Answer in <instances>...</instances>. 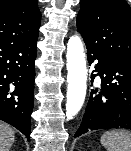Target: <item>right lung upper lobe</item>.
Returning <instances> with one entry per match:
<instances>
[{
    "instance_id": "obj_1",
    "label": "right lung upper lobe",
    "mask_w": 131,
    "mask_h": 151,
    "mask_svg": "<svg viewBox=\"0 0 131 151\" xmlns=\"http://www.w3.org/2000/svg\"><path fill=\"white\" fill-rule=\"evenodd\" d=\"M37 0H0V43L38 37L41 13Z\"/></svg>"
}]
</instances>
